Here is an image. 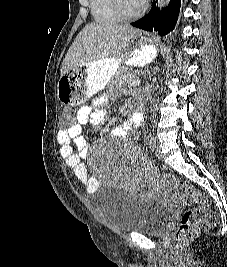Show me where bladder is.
I'll use <instances>...</instances> for the list:
<instances>
[{
	"mask_svg": "<svg viewBox=\"0 0 227 267\" xmlns=\"http://www.w3.org/2000/svg\"><path fill=\"white\" fill-rule=\"evenodd\" d=\"M99 198L107 223L120 231L160 235L172 217V211L155 199L134 197L115 186L105 185Z\"/></svg>",
	"mask_w": 227,
	"mask_h": 267,
	"instance_id": "obj_1",
	"label": "bladder"
}]
</instances>
